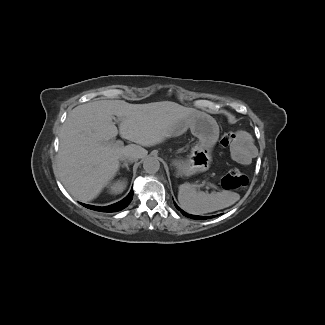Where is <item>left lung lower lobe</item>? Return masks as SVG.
Listing matches in <instances>:
<instances>
[{
  "label": "left lung lower lobe",
  "mask_w": 325,
  "mask_h": 325,
  "mask_svg": "<svg viewBox=\"0 0 325 325\" xmlns=\"http://www.w3.org/2000/svg\"><path fill=\"white\" fill-rule=\"evenodd\" d=\"M175 206L181 211V213L183 215H185L186 217H190L192 219H199V220H201V219H207V218L215 217V216H197V215H190V214L185 213L183 210H181L176 204H175Z\"/></svg>",
  "instance_id": "1"
}]
</instances>
